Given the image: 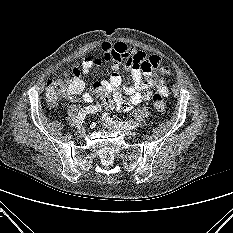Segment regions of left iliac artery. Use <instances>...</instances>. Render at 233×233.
<instances>
[{"instance_id": "44dca946", "label": "left iliac artery", "mask_w": 233, "mask_h": 233, "mask_svg": "<svg viewBox=\"0 0 233 233\" xmlns=\"http://www.w3.org/2000/svg\"><path fill=\"white\" fill-rule=\"evenodd\" d=\"M102 119H104L106 122L110 124H115L122 126L124 128H130V129H135L138 127V123L134 121H123V122H118L116 120H113L107 113L103 114Z\"/></svg>"}]
</instances>
